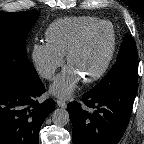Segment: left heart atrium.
<instances>
[{
	"instance_id": "39dd6f15",
	"label": "left heart atrium",
	"mask_w": 144,
	"mask_h": 144,
	"mask_svg": "<svg viewBox=\"0 0 144 144\" xmlns=\"http://www.w3.org/2000/svg\"><path fill=\"white\" fill-rule=\"evenodd\" d=\"M80 79L78 72L69 65L57 76L51 91L58 97L67 98L76 89Z\"/></svg>"
}]
</instances>
